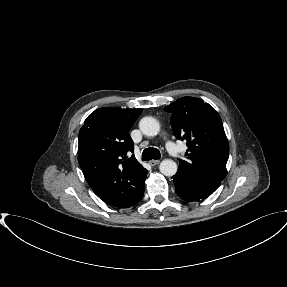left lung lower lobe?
<instances>
[{
    "label": "left lung lower lobe",
    "mask_w": 287,
    "mask_h": 287,
    "mask_svg": "<svg viewBox=\"0 0 287 287\" xmlns=\"http://www.w3.org/2000/svg\"><path fill=\"white\" fill-rule=\"evenodd\" d=\"M173 182L178 196L186 201H200L210 196L221 183L188 182L180 175H174Z\"/></svg>",
    "instance_id": "0a47b994"
}]
</instances>
